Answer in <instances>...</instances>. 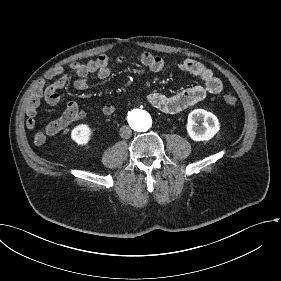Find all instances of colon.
<instances>
[{
	"label": "colon",
	"instance_id": "1",
	"mask_svg": "<svg viewBox=\"0 0 281 281\" xmlns=\"http://www.w3.org/2000/svg\"><path fill=\"white\" fill-rule=\"evenodd\" d=\"M223 101L226 105L228 106H233L236 104L237 102V99L235 96H232V95H226L223 97Z\"/></svg>",
	"mask_w": 281,
	"mask_h": 281
}]
</instances>
